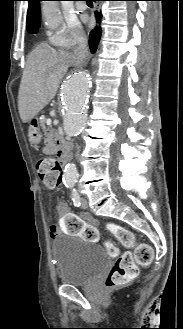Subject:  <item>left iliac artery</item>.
<instances>
[{
    "label": "left iliac artery",
    "mask_w": 183,
    "mask_h": 329,
    "mask_svg": "<svg viewBox=\"0 0 183 329\" xmlns=\"http://www.w3.org/2000/svg\"><path fill=\"white\" fill-rule=\"evenodd\" d=\"M72 200H73L74 206L79 207L81 205L80 195L76 189L72 190Z\"/></svg>",
    "instance_id": "left-iliac-artery-1"
}]
</instances>
